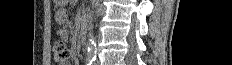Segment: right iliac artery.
I'll list each match as a JSON object with an SVG mask.
<instances>
[{
    "label": "right iliac artery",
    "instance_id": "obj_1",
    "mask_svg": "<svg viewBox=\"0 0 232 65\" xmlns=\"http://www.w3.org/2000/svg\"><path fill=\"white\" fill-rule=\"evenodd\" d=\"M86 62H87V65H92L94 62H95V58L93 57H88L87 58V60H86Z\"/></svg>",
    "mask_w": 232,
    "mask_h": 65
}]
</instances>
